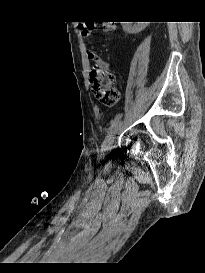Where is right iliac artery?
I'll use <instances>...</instances> for the list:
<instances>
[{
  "instance_id": "right-iliac-artery-1",
  "label": "right iliac artery",
  "mask_w": 205,
  "mask_h": 273,
  "mask_svg": "<svg viewBox=\"0 0 205 273\" xmlns=\"http://www.w3.org/2000/svg\"><path fill=\"white\" fill-rule=\"evenodd\" d=\"M122 117V113H118L114 119L111 121L110 123V127L109 130L112 129L114 127V125L120 120V118Z\"/></svg>"
}]
</instances>
